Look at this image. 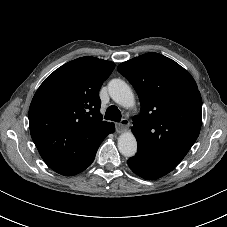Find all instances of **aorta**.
Listing matches in <instances>:
<instances>
[{"mask_svg": "<svg viewBox=\"0 0 227 227\" xmlns=\"http://www.w3.org/2000/svg\"><path fill=\"white\" fill-rule=\"evenodd\" d=\"M110 97L117 104L129 108L135 104L134 94L129 85L121 79H113L108 84ZM118 149L125 157H132L137 152V141L132 132H124L118 138Z\"/></svg>", "mask_w": 227, "mask_h": 227, "instance_id": "762f6f07", "label": "aorta"}]
</instances>
